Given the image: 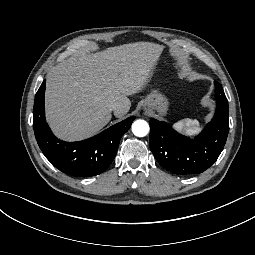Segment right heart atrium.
<instances>
[{
	"label": "right heart atrium",
	"instance_id": "obj_1",
	"mask_svg": "<svg viewBox=\"0 0 255 255\" xmlns=\"http://www.w3.org/2000/svg\"><path fill=\"white\" fill-rule=\"evenodd\" d=\"M102 99H103V94H102ZM138 151H139V148L137 146H131L128 149V152H138Z\"/></svg>",
	"mask_w": 255,
	"mask_h": 255
}]
</instances>
